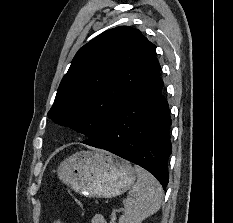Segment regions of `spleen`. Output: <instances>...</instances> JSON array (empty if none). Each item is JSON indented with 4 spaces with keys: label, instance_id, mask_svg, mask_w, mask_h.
Segmentation results:
<instances>
[{
    "label": "spleen",
    "instance_id": "obj_1",
    "mask_svg": "<svg viewBox=\"0 0 233 223\" xmlns=\"http://www.w3.org/2000/svg\"><path fill=\"white\" fill-rule=\"evenodd\" d=\"M138 179L124 199V213L119 223H141L143 219L158 211L164 197L161 183L146 169L136 167ZM95 223H107L102 215L93 217Z\"/></svg>",
    "mask_w": 233,
    "mask_h": 223
}]
</instances>
